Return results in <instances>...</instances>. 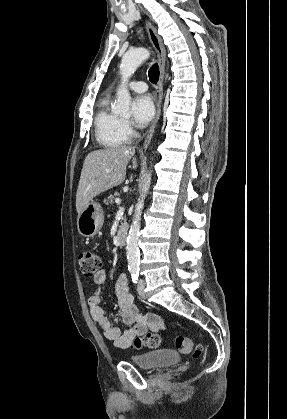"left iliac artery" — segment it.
<instances>
[{
	"label": "left iliac artery",
	"mask_w": 287,
	"mask_h": 419,
	"mask_svg": "<svg viewBox=\"0 0 287 419\" xmlns=\"http://www.w3.org/2000/svg\"><path fill=\"white\" fill-rule=\"evenodd\" d=\"M138 278H139V272H138V271H134V272H132V281H133L134 283H137Z\"/></svg>",
	"instance_id": "1"
}]
</instances>
